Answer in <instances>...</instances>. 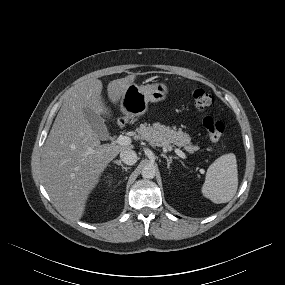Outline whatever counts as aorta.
<instances>
[{
	"label": "aorta",
	"instance_id": "762f6f07",
	"mask_svg": "<svg viewBox=\"0 0 285 285\" xmlns=\"http://www.w3.org/2000/svg\"><path fill=\"white\" fill-rule=\"evenodd\" d=\"M156 169L153 165H145L141 170V175L144 179H152L155 177Z\"/></svg>",
	"mask_w": 285,
	"mask_h": 285
}]
</instances>
